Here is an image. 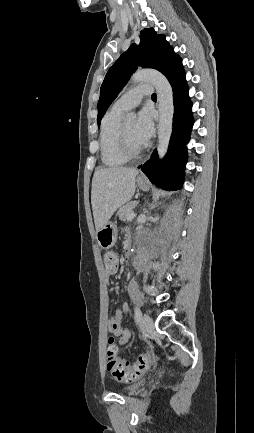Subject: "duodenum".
<instances>
[{"mask_svg":"<svg viewBox=\"0 0 254 433\" xmlns=\"http://www.w3.org/2000/svg\"><path fill=\"white\" fill-rule=\"evenodd\" d=\"M130 247H131V241L128 239V240L126 241V249L129 250Z\"/></svg>","mask_w":254,"mask_h":433,"instance_id":"obj_1","label":"duodenum"}]
</instances>
